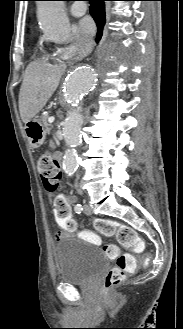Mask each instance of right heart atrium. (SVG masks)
<instances>
[{"label":"right heart atrium","instance_id":"obj_1","mask_svg":"<svg viewBox=\"0 0 183 329\" xmlns=\"http://www.w3.org/2000/svg\"><path fill=\"white\" fill-rule=\"evenodd\" d=\"M90 41L81 36L76 29L71 32L70 42L67 45L61 46L56 51V56L62 59L72 57L78 48H89Z\"/></svg>","mask_w":183,"mask_h":329}]
</instances>
